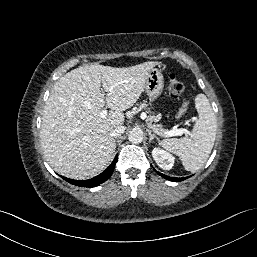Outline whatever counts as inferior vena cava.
Returning a JSON list of instances; mask_svg holds the SVG:
<instances>
[{
	"label": "inferior vena cava",
	"mask_w": 257,
	"mask_h": 257,
	"mask_svg": "<svg viewBox=\"0 0 257 257\" xmlns=\"http://www.w3.org/2000/svg\"><path fill=\"white\" fill-rule=\"evenodd\" d=\"M125 132V127L124 126H118L116 128H114L111 132L110 135L112 137H118L121 134H123Z\"/></svg>",
	"instance_id": "602c4592"
}]
</instances>
